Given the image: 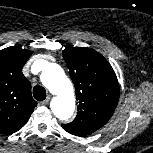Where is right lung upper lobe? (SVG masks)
<instances>
[{"instance_id":"1","label":"right lung upper lobe","mask_w":153,"mask_h":153,"mask_svg":"<svg viewBox=\"0 0 153 153\" xmlns=\"http://www.w3.org/2000/svg\"><path fill=\"white\" fill-rule=\"evenodd\" d=\"M32 51L8 47L0 51V133L21 129L37 106L22 68Z\"/></svg>"}]
</instances>
